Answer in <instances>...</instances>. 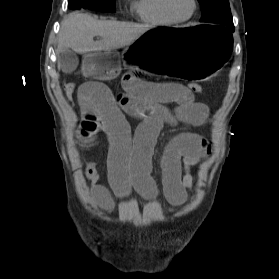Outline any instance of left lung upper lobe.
Returning a JSON list of instances; mask_svg holds the SVG:
<instances>
[{"instance_id": "1", "label": "left lung upper lobe", "mask_w": 279, "mask_h": 279, "mask_svg": "<svg viewBox=\"0 0 279 279\" xmlns=\"http://www.w3.org/2000/svg\"><path fill=\"white\" fill-rule=\"evenodd\" d=\"M201 5L200 22L224 23L232 21L228 0H198Z\"/></svg>"}]
</instances>
